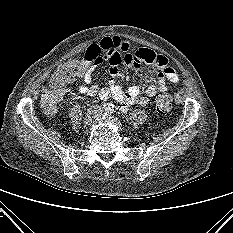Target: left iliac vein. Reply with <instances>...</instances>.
Returning <instances> with one entry per match:
<instances>
[{
    "mask_svg": "<svg viewBox=\"0 0 233 233\" xmlns=\"http://www.w3.org/2000/svg\"><path fill=\"white\" fill-rule=\"evenodd\" d=\"M96 120H98V121H104V119L102 118V115L100 113L97 114Z\"/></svg>",
    "mask_w": 233,
    "mask_h": 233,
    "instance_id": "4c4485c4",
    "label": "left iliac vein"
}]
</instances>
